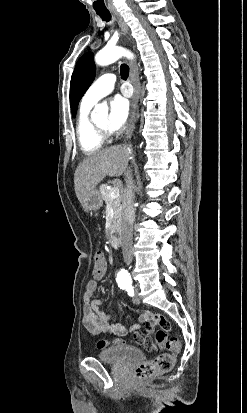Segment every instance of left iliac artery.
<instances>
[{
	"label": "left iliac artery",
	"instance_id": "obj_1",
	"mask_svg": "<svg viewBox=\"0 0 247 413\" xmlns=\"http://www.w3.org/2000/svg\"><path fill=\"white\" fill-rule=\"evenodd\" d=\"M122 289H125L129 296H134V289L132 285L123 286Z\"/></svg>",
	"mask_w": 247,
	"mask_h": 413
}]
</instances>
